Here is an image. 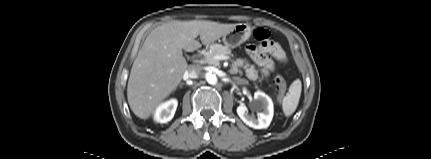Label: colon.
Listing matches in <instances>:
<instances>
[{
	"mask_svg": "<svg viewBox=\"0 0 431 159\" xmlns=\"http://www.w3.org/2000/svg\"><path fill=\"white\" fill-rule=\"evenodd\" d=\"M254 38L258 40L261 44H271L272 40L270 39V33L268 30L263 28H258L254 31ZM274 83L277 90V96L279 99H282L286 92V81L282 76H276L274 79Z\"/></svg>",
	"mask_w": 431,
	"mask_h": 159,
	"instance_id": "colon-1",
	"label": "colon"
}]
</instances>
